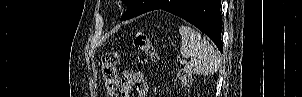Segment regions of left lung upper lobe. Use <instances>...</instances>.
I'll return each mask as SVG.
<instances>
[{"instance_id":"obj_1","label":"left lung upper lobe","mask_w":302,"mask_h":97,"mask_svg":"<svg viewBox=\"0 0 302 97\" xmlns=\"http://www.w3.org/2000/svg\"><path fill=\"white\" fill-rule=\"evenodd\" d=\"M153 0H122L128 7L126 13L121 17V20L132 18L136 13L147 9Z\"/></svg>"}]
</instances>
